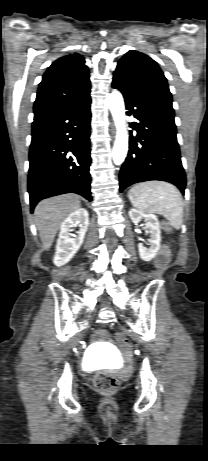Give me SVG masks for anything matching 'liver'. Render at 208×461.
Wrapping results in <instances>:
<instances>
[{
  "label": "liver",
  "mask_w": 208,
  "mask_h": 461,
  "mask_svg": "<svg viewBox=\"0 0 208 461\" xmlns=\"http://www.w3.org/2000/svg\"><path fill=\"white\" fill-rule=\"evenodd\" d=\"M76 195L66 194L45 199L36 206L34 215L43 248L49 250L62 221L80 209Z\"/></svg>",
  "instance_id": "6515ba94"
}]
</instances>
